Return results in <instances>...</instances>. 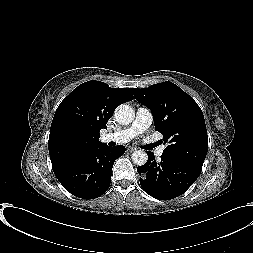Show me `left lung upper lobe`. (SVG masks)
<instances>
[{"label": "left lung upper lobe", "instance_id": "5c2ea615", "mask_svg": "<svg viewBox=\"0 0 253 253\" xmlns=\"http://www.w3.org/2000/svg\"><path fill=\"white\" fill-rule=\"evenodd\" d=\"M131 92L151 110L155 129L163 134L167 144L163 154L202 166L208 137L203 113L193 98L169 81L148 88H131Z\"/></svg>", "mask_w": 253, "mask_h": 253}]
</instances>
